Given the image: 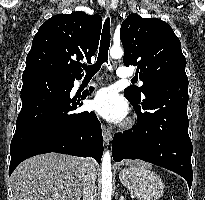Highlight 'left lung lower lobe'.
I'll list each match as a JSON object with an SVG mask.
<instances>
[{"label": "left lung lower lobe", "instance_id": "1", "mask_svg": "<svg viewBox=\"0 0 205 200\" xmlns=\"http://www.w3.org/2000/svg\"><path fill=\"white\" fill-rule=\"evenodd\" d=\"M188 81L170 80L150 86L139 101L127 99L137 113L132 129L114 135L115 161L141 159L169 169L192 185V143L188 135Z\"/></svg>", "mask_w": 205, "mask_h": 200}]
</instances>
